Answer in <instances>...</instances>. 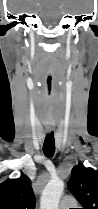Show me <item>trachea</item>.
<instances>
[{"instance_id": "1", "label": "trachea", "mask_w": 98, "mask_h": 209, "mask_svg": "<svg viewBox=\"0 0 98 209\" xmlns=\"http://www.w3.org/2000/svg\"><path fill=\"white\" fill-rule=\"evenodd\" d=\"M43 152L48 157L51 158L55 152V142H54V134L50 132L46 135L44 144H43Z\"/></svg>"}]
</instances>
